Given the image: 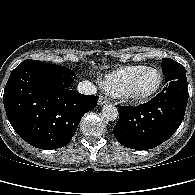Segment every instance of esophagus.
I'll use <instances>...</instances> for the list:
<instances>
[{
    "instance_id": "34e87169",
    "label": "esophagus",
    "mask_w": 195,
    "mask_h": 195,
    "mask_svg": "<svg viewBox=\"0 0 195 195\" xmlns=\"http://www.w3.org/2000/svg\"><path fill=\"white\" fill-rule=\"evenodd\" d=\"M109 102H110L109 99H107L104 96H100L98 100V105L102 106V105L108 104Z\"/></svg>"
}]
</instances>
